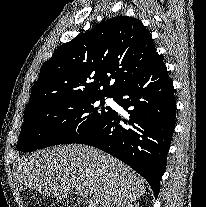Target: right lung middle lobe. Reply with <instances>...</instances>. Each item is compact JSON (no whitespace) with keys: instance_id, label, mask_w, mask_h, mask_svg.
Listing matches in <instances>:
<instances>
[{"instance_id":"right-lung-middle-lobe-1","label":"right lung middle lobe","mask_w":206,"mask_h":207,"mask_svg":"<svg viewBox=\"0 0 206 207\" xmlns=\"http://www.w3.org/2000/svg\"><path fill=\"white\" fill-rule=\"evenodd\" d=\"M100 95L51 101L24 112V123L17 144L21 152L52 145L75 143L112 113ZM100 100V105L95 103Z\"/></svg>"}]
</instances>
